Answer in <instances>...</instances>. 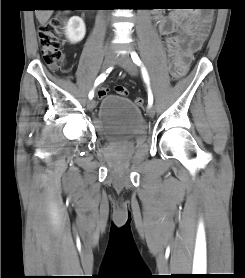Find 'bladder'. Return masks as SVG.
<instances>
[{
    "label": "bladder",
    "instance_id": "31cf9c89",
    "mask_svg": "<svg viewBox=\"0 0 245 278\" xmlns=\"http://www.w3.org/2000/svg\"><path fill=\"white\" fill-rule=\"evenodd\" d=\"M95 125L100 139L108 143L142 139L146 130L140 108L130 99L114 94L101 100Z\"/></svg>",
    "mask_w": 245,
    "mask_h": 278
}]
</instances>
